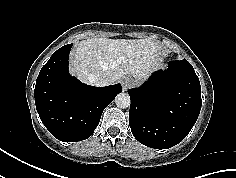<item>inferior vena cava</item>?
I'll list each match as a JSON object with an SVG mask.
<instances>
[{"label": "inferior vena cava", "instance_id": "602c4592", "mask_svg": "<svg viewBox=\"0 0 236 178\" xmlns=\"http://www.w3.org/2000/svg\"><path fill=\"white\" fill-rule=\"evenodd\" d=\"M89 81L91 83H94L96 86H107L110 84V79L107 76H95V75H91L89 77Z\"/></svg>", "mask_w": 236, "mask_h": 178}]
</instances>
